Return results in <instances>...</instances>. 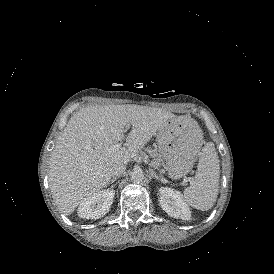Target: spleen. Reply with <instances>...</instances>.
<instances>
[{
    "mask_svg": "<svg viewBox=\"0 0 274 274\" xmlns=\"http://www.w3.org/2000/svg\"><path fill=\"white\" fill-rule=\"evenodd\" d=\"M198 142L202 141V133L199 129ZM196 152V147L192 149ZM195 179L191 186L184 190V201L199 210L206 211L212 208L218 195L220 164L214 144L209 142L199 154Z\"/></svg>",
    "mask_w": 274,
    "mask_h": 274,
    "instance_id": "1",
    "label": "spleen"
}]
</instances>
